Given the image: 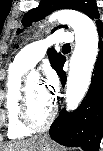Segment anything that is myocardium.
I'll list each match as a JSON object with an SVG mask.
<instances>
[{
	"label": "myocardium",
	"instance_id": "obj_1",
	"mask_svg": "<svg viewBox=\"0 0 103 151\" xmlns=\"http://www.w3.org/2000/svg\"><path fill=\"white\" fill-rule=\"evenodd\" d=\"M57 113V104L52 103L50 114L42 124L35 123L30 116L27 84L22 85L18 105V117L21 125L30 131H44L50 127Z\"/></svg>",
	"mask_w": 103,
	"mask_h": 151
}]
</instances>
